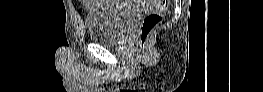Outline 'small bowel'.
Returning a JSON list of instances; mask_svg holds the SVG:
<instances>
[{"label": "small bowel", "mask_w": 263, "mask_h": 92, "mask_svg": "<svg viewBox=\"0 0 263 92\" xmlns=\"http://www.w3.org/2000/svg\"><path fill=\"white\" fill-rule=\"evenodd\" d=\"M149 4H155L156 1H148Z\"/></svg>", "instance_id": "obj_1"}]
</instances>
